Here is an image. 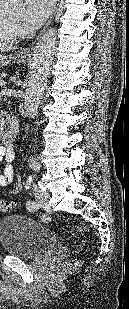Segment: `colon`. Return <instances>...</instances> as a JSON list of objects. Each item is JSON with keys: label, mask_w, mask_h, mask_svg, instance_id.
<instances>
[{"label": "colon", "mask_w": 129, "mask_h": 309, "mask_svg": "<svg viewBox=\"0 0 129 309\" xmlns=\"http://www.w3.org/2000/svg\"><path fill=\"white\" fill-rule=\"evenodd\" d=\"M15 207V202L0 199V212H9ZM80 261L77 259H71L65 263L66 270H75L79 268Z\"/></svg>", "instance_id": "obj_1"}]
</instances>
